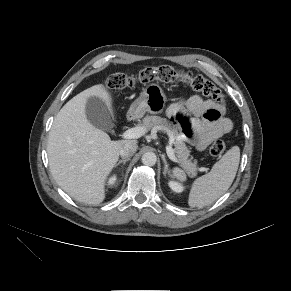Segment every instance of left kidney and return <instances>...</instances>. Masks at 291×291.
<instances>
[{
    "instance_id": "5707ae66",
    "label": "left kidney",
    "mask_w": 291,
    "mask_h": 291,
    "mask_svg": "<svg viewBox=\"0 0 291 291\" xmlns=\"http://www.w3.org/2000/svg\"><path fill=\"white\" fill-rule=\"evenodd\" d=\"M169 187L176 193H181L184 190V187L175 181H169Z\"/></svg>"
}]
</instances>
